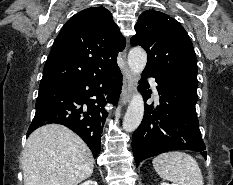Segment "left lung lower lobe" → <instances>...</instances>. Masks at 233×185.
<instances>
[{
    "label": "left lung lower lobe",
    "instance_id": "0a47b994",
    "mask_svg": "<svg viewBox=\"0 0 233 185\" xmlns=\"http://www.w3.org/2000/svg\"><path fill=\"white\" fill-rule=\"evenodd\" d=\"M146 77L156 79L160 105L156 110L152 105L145 106L144 120L133 133L132 150L136 167L144 159L171 150H192L206 158L195 110L198 81L160 78L144 70L140 85L145 101L149 97Z\"/></svg>",
    "mask_w": 233,
    "mask_h": 185
}]
</instances>
